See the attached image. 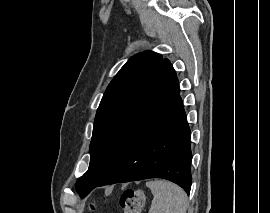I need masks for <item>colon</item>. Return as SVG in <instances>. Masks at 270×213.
I'll return each instance as SVG.
<instances>
[{"label": "colon", "mask_w": 270, "mask_h": 213, "mask_svg": "<svg viewBox=\"0 0 270 213\" xmlns=\"http://www.w3.org/2000/svg\"><path fill=\"white\" fill-rule=\"evenodd\" d=\"M119 203L123 213H141L145 203V193L141 189H126Z\"/></svg>", "instance_id": "1"}]
</instances>
